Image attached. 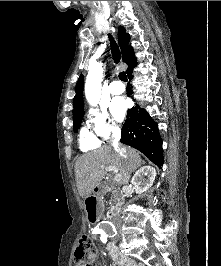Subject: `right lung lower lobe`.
Instances as JSON below:
<instances>
[{
    "mask_svg": "<svg viewBox=\"0 0 221 266\" xmlns=\"http://www.w3.org/2000/svg\"><path fill=\"white\" fill-rule=\"evenodd\" d=\"M131 74L132 70L127 74L129 79H132ZM127 95H131L130 88L127 89ZM120 141L141 151L159 168L163 165L162 139L158 126L144 109L138 111L133 107L128 110Z\"/></svg>",
    "mask_w": 221,
    "mask_h": 266,
    "instance_id": "right-lung-lower-lobe-1",
    "label": "right lung lower lobe"
}]
</instances>
